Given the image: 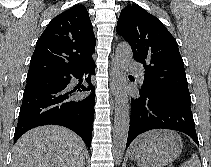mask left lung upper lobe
<instances>
[{
	"mask_svg": "<svg viewBox=\"0 0 211 167\" xmlns=\"http://www.w3.org/2000/svg\"><path fill=\"white\" fill-rule=\"evenodd\" d=\"M117 31L131 45L134 60L144 66L141 89L190 105L178 44L162 22L140 6L129 4L120 13Z\"/></svg>",
	"mask_w": 211,
	"mask_h": 167,
	"instance_id": "5c2ea615",
	"label": "left lung upper lobe"
}]
</instances>
